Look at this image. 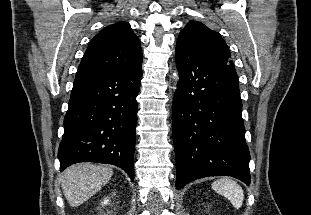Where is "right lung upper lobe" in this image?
<instances>
[{
	"instance_id": "right-lung-upper-lobe-1",
	"label": "right lung upper lobe",
	"mask_w": 311,
	"mask_h": 215,
	"mask_svg": "<svg viewBox=\"0 0 311 215\" xmlns=\"http://www.w3.org/2000/svg\"><path fill=\"white\" fill-rule=\"evenodd\" d=\"M141 63L139 38L129 23L117 22L92 39L78 69L132 70Z\"/></svg>"
}]
</instances>
